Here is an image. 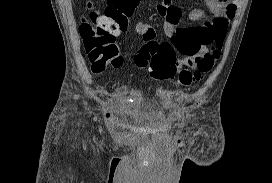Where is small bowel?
I'll return each instance as SVG.
<instances>
[{"instance_id":"1","label":"small bowel","mask_w":272,"mask_h":183,"mask_svg":"<svg viewBox=\"0 0 272 183\" xmlns=\"http://www.w3.org/2000/svg\"><path fill=\"white\" fill-rule=\"evenodd\" d=\"M205 4L213 18H207L203 10L194 8L188 13V20L199 25L187 27L181 26L183 13L172 0H161L156 5V11L164 19V35L182 55L177 60L179 69L192 67L199 57L208 52L213 43L221 42L235 17L236 0H205ZM135 31L145 43L155 41L156 31L153 26L139 22L135 25ZM111 116L113 112L107 114V117Z\"/></svg>"}]
</instances>
